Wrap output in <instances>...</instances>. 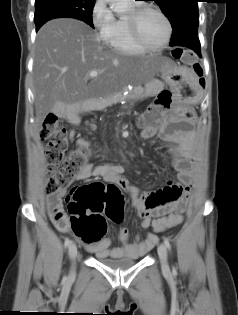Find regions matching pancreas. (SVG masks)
<instances>
[{
  "instance_id": "obj_1",
  "label": "pancreas",
  "mask_w": 238,
  "mask_h": 315,
  "mask_svg": "<svg viewBox=\"0 0 238 315\" xmlns=\"http://www.w3.org/2000/svg\"><path fill=\"white\" fill-rule=\"evenodd\" d=\"M145 97V90L141 86L135 87L132 91L129 92L127 96H121V97H111L106 101V104L112 105L120 102L121 100H127V101H137L140 99H143Z\"/></svg>"
}]
</instances>
